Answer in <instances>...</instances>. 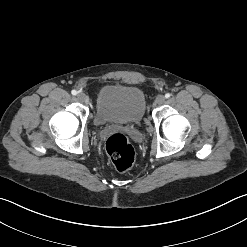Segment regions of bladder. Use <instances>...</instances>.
<instances>
[{
    "label": "bladder",
    "instance_id": "31cf9c89",
    "mask_svg": "<svg viewBox=\"0 0 247 247\" xmlns=\"http://www.w3.org/2000/svg\"><path fill=\"white\" fill-rule=\"evenodd\" d=\"M146 111V100L141 89L122 84L102 86L96 97L94 122L107 124H139Z\"/></svg>",
    "mask_w": 247,
    "mask_h": 247
}]
</instances>
